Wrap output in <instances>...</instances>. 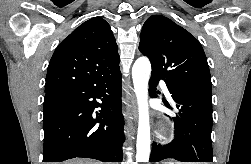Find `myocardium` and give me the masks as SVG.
Listing matches in <instances>:
<instances>
[{"instance_id":"f54148a6","label":"myocardium","mask_w":251,"mask_h":164,"mask_svg":"<svg viewBox=\"0 0 251 164\" xmlns=\"http://www.w3.org/2000/svg\"><path fill=\"white\" fill-rule=\"evenodd\" d=\"M162 132H163V133H166V129H165V128H163V129H162Z\"/></svg>"}]
</instances>
